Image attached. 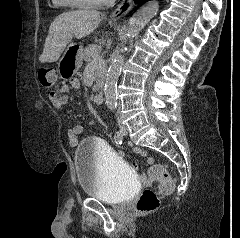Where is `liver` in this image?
Masks as SVG:
<instances>
[{
	"instance_id": "6515ba94",
	"label": "liver",
	"mask_w": 240,
	"mask_h": 238,
	"mask_svg": "<svg viewBox=\"0 0 240 238\" xmlns=\"http://www.w3.org/2000/svg\"><path fill=\"white\" fill-rule=\"evenodd\" d=\"M100 21V13L94 10L68 11L56 17L49 27L41 63L56 62L73 37L81 39L90 35Z\"/></svg>"
}]
</instances>
